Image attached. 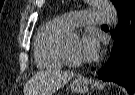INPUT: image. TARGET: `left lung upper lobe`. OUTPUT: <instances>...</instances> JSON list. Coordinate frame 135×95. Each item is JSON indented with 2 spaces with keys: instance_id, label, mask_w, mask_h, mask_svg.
Returning <instances> with one entry per match:
<instances>
[{
  "instance_id": "obj_1",
  "label": "left lung upper lobe",
  "mask_w": 135,
  "mask_h": 95,
  "mask_svg": "<svg viewBox=\"0 0 135 95\" xmlns=\"http://www.w3.org/2000/svg\"><path fill=\"white\" fill-rule=\"evenodd\" d=\"M113 5L115 6L118 17L120 18L122 15L126 14L133 8H135V0H111Z\"/></svg>"
}]
</instances>
